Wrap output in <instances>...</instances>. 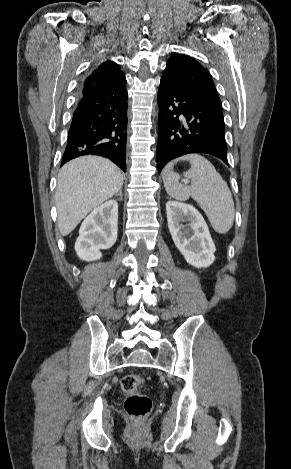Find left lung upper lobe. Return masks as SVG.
I'll use <instances>...</instances> for the list:
<instances>
[{
  "label": "left lung upper lobe",
  "mask_w": 291,
  "mask_h": 469,
  "mask_svg": "<svg viewBox=\"0 0 291 469\" xmlns=\"http://www.w3.org/2000/svg\"><path fill=\"white\" fill-rule=\"evenodd\" d=\"M162 76L170 77L177 84L221 104L209 72L192 57L183 54L173 55L168 60Z\"/></svg>",
  "instance_id": "left-lung-upper-lobe-1"
}]
</instances>
